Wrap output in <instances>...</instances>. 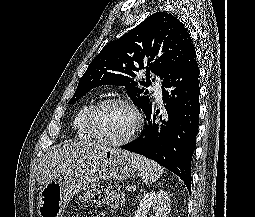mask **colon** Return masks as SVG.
Listing matches in <instances>:
<instances>
[{
    "mask_svg": "<svg viewBox=\"0 0 255 217\" xmlns=\"http://www.w3.org/2000/svg\"><path fill=\"white\" fill-rule=\"evenodd\" d=\"M82 200L97 204L106 203L112 207H118L124 202V194L119 186H112L107 182H99L83 194Z\"/></svg>",
    "mask_w": 255,
    "mask_h": 217,
    "instance_id": "colon-1",
    "label": "colon"
}]
</instances>
